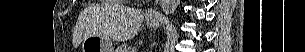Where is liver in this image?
I'll return each mask as SVG.
<instances>
[{"instance_id": "1", "label": "liver", "mask_w": 305, "mask_h": 52, "mask_svg": "<svg viewBox=\"0 0 305 52\" xmlns=\"http://www.w3.org/2000/svg\"><path fill=\"white\" fill-rule=\"evenodd\" d=\"M111 18L108 25L104 29H89V26L80 32L74 40V46L77 47L84 38L90 35H99L114 41H127L136 36L143 22L144 15L138 9H133L121 4L110 5Z\"/></svg>"}]
</instances>
